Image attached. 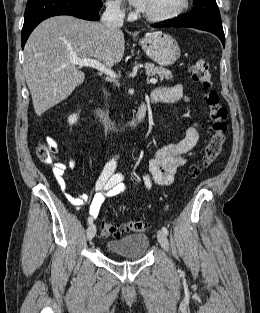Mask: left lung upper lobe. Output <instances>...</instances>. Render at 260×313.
Here are the masks:
<instances>
[{
  "label": "left lung upper lobe",
  "instance_id": "left-lung-upper-lobe-1",
  "mask_svg": "<svg viewBox=\"0 0 260 313\" xmlns=\"http://www.w3.org/2000/svg\"><path fill=\"white\" fill-rule=\"evenodd\" d=\"M194 8L188 14L180 15L176 19L187 20L199 26H209L223 29L216 0H193Z\"/></svg>",
  "mask_w": 260,
  "mask_h": 313
}]
</instances>
